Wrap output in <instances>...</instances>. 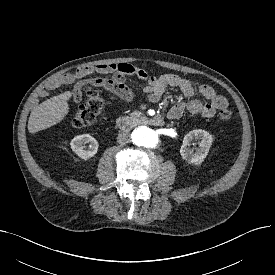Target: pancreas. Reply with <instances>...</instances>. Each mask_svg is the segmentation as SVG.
<instances>
[{"label": "pancreas", "mask_w": 275, "mask_h": 275, "mask_svg": "<svg viewBox=\"0 0 275 275\" xmlns=\"http://www.w3.org/2000/svg\"><path fill=\"white\" fill-rule=\"evenodd\" d=\"M141 113L138 111H134L133 113L130 114L131 117H136L138 115H140Z\"/></svg>", "instance_id": "cf45deb5"}]
</instances>
